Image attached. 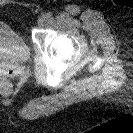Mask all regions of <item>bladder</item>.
<instances>
[{
	"instance_id": "31cf9c89",
	"label": "bladder",
	"mask_w": 133,
	"mask_h": 133,
	"mask_svg": "<svg viewBox=\"0 0 133 133\" xmlns=\"http://www.w3.org/2000/svg\"><path fill=\"white\" fill-rule=\"evenodd\" d=\"M30 56L25 39L9 24L0 21V62L19 64Z\"/></svg>"
}]
</instances>
